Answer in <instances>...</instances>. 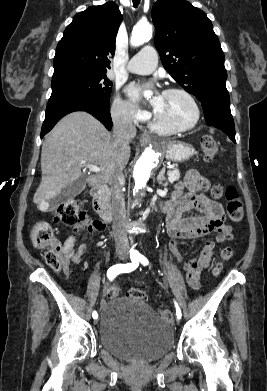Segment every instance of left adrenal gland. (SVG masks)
I'll list each match as a JSON object with an SVG mask.
<instances>
[{
	"label": "left adrenal gland",
	"instance_id": "left-adrenal-gland-1",
	"mask_svg": "<svg viewBox=\"0 0 267 391\" xmlns=\"http://www.w3.org/2000/svg\"><path fill=\"white\" fill-rule=\"evenodd\" d=\"M164 174H165V166L162 168V170L159 172V174L157 176V182L160 185H162L163 182L166 181Z\"/></svg>",
	"mask_w": 267,
	"mask_h": 391
}]
</instances>
